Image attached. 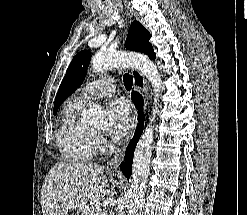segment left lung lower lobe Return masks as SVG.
<instances>
[{"instance_id": "obj_1", "label": "left lung lower lobe", "mask_w": 247, "mask_h": 215, "mask_svg": "<svg viewBox=\"0 0 247 215\" xmlns=\"http://www.w3.org/2000/svg\"><path fill=\"white\" fill-rule=\"evenodd\" d=\"M155 57H156L155 53H153V54L150 56V58H155Z\"/></svg>"}]
</instances>
